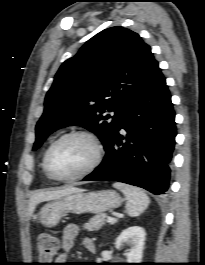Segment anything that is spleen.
<instances>
[{
  "instance_id": "1",
  "label": "spleen",
  "mask_w": 205,
  "mask_h": 265,
  "mask_svg": "<svg viewBox=\"0 0 205 265\" xmlns=\"http://www.w3.org/2000/svg\"><path fill=\"white\" fill-rule=\"evenodd\" d=\"M113 186L125 195L126 210L130 216H139L148 207L150 199L140 188L119 182L114 183Z\"/></svg>"
}]
</instances>
